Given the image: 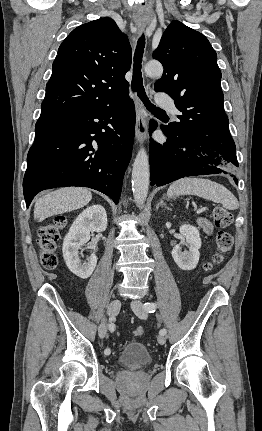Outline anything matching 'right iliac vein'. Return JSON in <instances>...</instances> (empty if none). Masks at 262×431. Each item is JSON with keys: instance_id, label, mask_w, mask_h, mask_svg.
Segmentation results:
<instances>
[{"instance_id": "right-iliac-vein-1", "label": "right iliac vein", "mask_w": 262, "mask_h": 431, "mask_svg": "<svg viewBox=\"0 0 262 431\" xmlns=\"http://www.w3.org/2000/svg\"><path fill=\"white\" fill-rule=\"evenodd\" d=\"M120 307H121L120 299L112 300L108 305V309H107L108 315L115 316L120 310ZM106 334H107V327H106V324L102 322L98 327V335L100 338H104Z\"/></svg>"}]
</instances>
